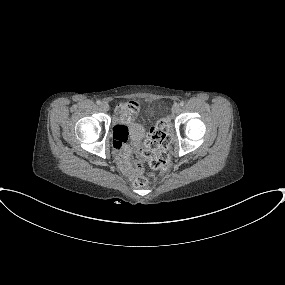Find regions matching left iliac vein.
Returning <instances> with one entry per match:
<instances>
[{"instance_id":"obj_1","label":"left iliac vein","mask_w":285,"mask_h":285,"mask_svg":"<svg viewBox=\"0 0 285 285\" xmlns=\"http://www.w3.org/2000/svg\"><path fill=\"white\" fill-rule=\"evenodd\" d=\"M180 111V106L178 104H174L172 106V112L173 113H178Z\"/></svg>"}]
</instances>
